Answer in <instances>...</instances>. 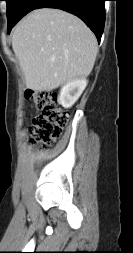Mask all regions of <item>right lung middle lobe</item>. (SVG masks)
Wrapping results in <instances>:
<instances>
[{"instance_id": "dd1d6c3e", "label": "right lung middle lobe", "mask_w": 133, "mask_h": 253, "mask_svg": "<svg viewBox=\"0 0 133 253\" xmlns=\"http://www.w3.org/2000/svg\"><path fill=\"white\" fill-rule=\"evenodd\" d=\"M7 4L8 33L12 27L18 22L20 8L25 0H4Z\"/></svg>"}]
</instances>
